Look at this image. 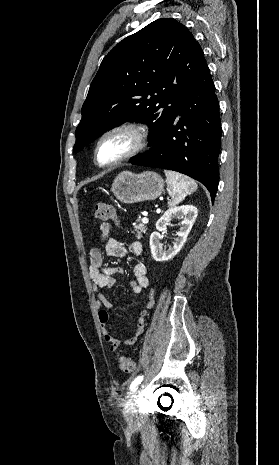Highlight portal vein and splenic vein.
Here are the masks:
<instances>
[{
  "mask_svg": "<svg viewBox=\"0 0 279 465\" xmlns=\"http://www.w3.org/2000/svg\"><path fill=\"white\" fill-rule=\"evenodd\" d=\"M142 222H143L144 224H147V223L149 222V220H148L147 217H143V218H142Z\"/></svg>",
  "mask_w": 279,
  "mask_h": 465,
  "instance_id": "portal-vein-and-splenic-vein-1",
  "label": "portal vein and splenic vein"
}]
</instances>
